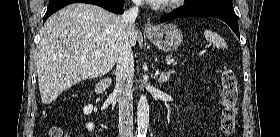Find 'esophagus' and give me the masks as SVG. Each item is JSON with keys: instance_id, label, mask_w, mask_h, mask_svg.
I'll list each match as a JSON object with an SVG mask.
<instances>
[{"instance_id": "34e87169", "label": "esophagus", "mask_w": 280, "mask_h": 137, "mask_svg": "<svg viewBox=\"0 0 280 137\" xmlns=\"http://www.w3.org/2000/svg\"><path fill=\"white\" fill-rule=\"evenodd\" d=\"M144 31H145V33H152V32L155 31V27H154L153 24L147 23V24L145 25Z\"/></svg>"}]
</instances>
